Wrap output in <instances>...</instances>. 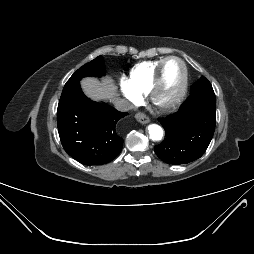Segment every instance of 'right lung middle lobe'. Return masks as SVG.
Returning <instances> with one entry per match:
<instances>
[{
  "label": "right lung middle lobe",
  "mask_w": 254,
  "mask_h": 254,
  "mask_svg": "<svg viewBox=\"0 0 254 254\" xmlns=\"http://www.w3.org/2000/svg\"><path fill=\"white\" fill-rule=\"evenodd\" d=\"M105 74V65L102 56H98L94 60L88 62L79 68L67 81L66 84L79 81L86 76L101 77Z\"/></svg>",
  "instance_id": "dd1d6c3e"
}]
</instances>
